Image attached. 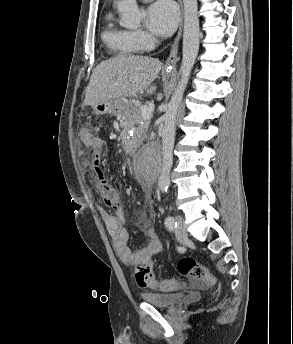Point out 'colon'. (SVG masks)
<instances>
[{
    "label": "colon",
    "mask_w": 293,
    "mask_h": 344,
    "mask_svg": "<svg viewBox=\"0 0 293 344\" xmlns=\"http://www.w3.org/2000/svg\"><path fill=\"white\" fill-rule=\"evenodd\" d=\"M100 195L104 203L111 208H116L121 204L119 192L111 185L108 179L101 175L97 180ZM178 272L194 282H211L212 276L208 273L206 267L199 261L191 257H183L177 263ZM135 280L141 288H159L162 290H173L180 288L182 284L175 279L158 281L153 273V263L147 262L135 270Z\"/></svg>",
    "instance_id": "obj_1"
}]
</instances>
